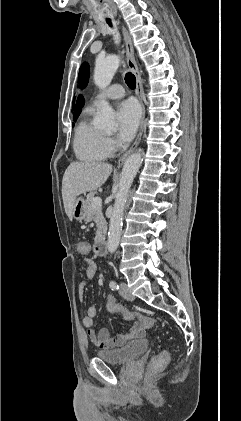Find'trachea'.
<instances>
[{"mask_svg":"<svg viewBox=\"0 0 241 421\" xmlns=\"http://www.w3.org/2000/svg\"><path fill=\"white\" fill-rule=\"evenodd\" d=\"M107 23H108L110 26H112V24H111V20H107ZM125 82H126L127 86H128L130 89H134V88L136 87V78H135V76H134L131 72H128V73L125 75Z\"/></svg>","mask_w":241,"mask_h":421,"instance_id":"1","label":"trachea"}]
</instances>
